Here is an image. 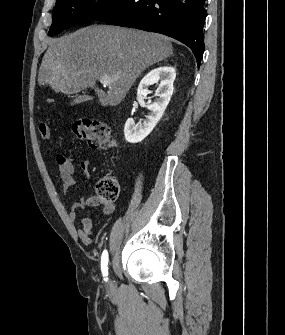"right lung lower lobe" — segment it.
Here are the masks:
<instances>
[{
    "instance_id": "right-lung-lower-lobe-1",
    "label": "right lung lower lobe",
    "mask_w": 285,
    "mask_h": 335,
    "mask_svg": "<svg viewBox=\"0 0 285 335\" xmlns=\"http://www.w3.org/2000/svg\"><path fill=\"white\" fill-rule=\"evenodd\" d=\"M205 0H120L96 20L161 33L187 45L198 67L204 51Z\"/></svg>"
}]
</instances>
